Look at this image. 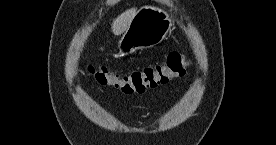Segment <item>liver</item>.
I'll use <instances>...</instances> for the list:
<instances>
[{
	"label": "liver",
	"mask_w": 276,
	"mask_h": 145,
	"mask_svg": "<svg viewBox=\"0 0 276 145\" xmlns=\"http://www.w3.org/2000/svg\"><path fill=\"white\" fill-rule=\"evenodd\" d=\"M135 14L136 8H131L126 10L125 12L120 14L115 20H113L111 27L113 34L121 35L122 33H124L128 29Z\"/></svg>",
	"instance_id": "obj_1"
}]
</instances>
